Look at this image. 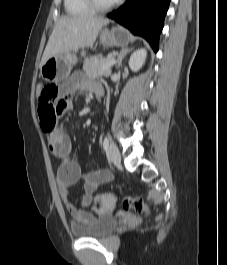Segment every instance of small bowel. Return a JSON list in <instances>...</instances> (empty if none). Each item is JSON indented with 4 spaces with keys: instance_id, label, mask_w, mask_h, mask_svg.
Here are the masks:
<instances>
[{
    "instance_id": "small-bowel-1",
    "label": "small bowel",
    "mask_w": 227,
    "mask_h": 265,
    "mask_svg": "<svg viewBox=\"0 0 227 265\" xmlns=\"http://www.w3.org/2000/svg\"><path fill=\"white\" fill-rule=\"evenodd\" d=\"M88 72H76L67 81H59L61 92L64 96L72 95L81 91H92L99 94L103 91L102 86L87 78ZM56 107L58 112H70L72 104L70 99H58ZM47 143L52 154L59 160L56 182L62 202L78 223H90L97 216L84 209L95 199V190L103 183L112 179V174L106 169L83 172L79 164L73 160L71 154V140L68 134L59 127L46 133ZM82 182L81 194L73 197L70 189L78 182Z\"/></svg>"
}]
</instances>
